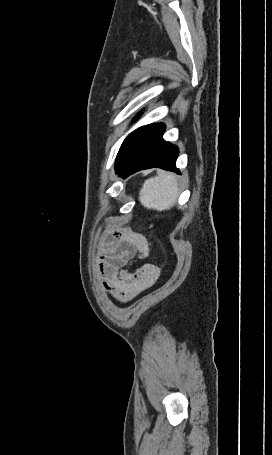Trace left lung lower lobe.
Instances as JSON below:
<instances>
[{
  "mask_svg": "<svg viewBox=\"0 0 272 455\" xmlns=\"http://www.w3.org/2000/svg\"><path fill=\"white\" fill-rule=\"evenodd\" d=\"M164 131V124H150L129 134L118 152L116 173L127 177L136 171L152 167L179 173L175 166L178 148L163 140Z\"/></svg>",
  "mask_w": 272,
  "mask_h": 455,
  "instance_id": "0a47b994",
  "label": "left lung lower lobe"
}]
</instances>
